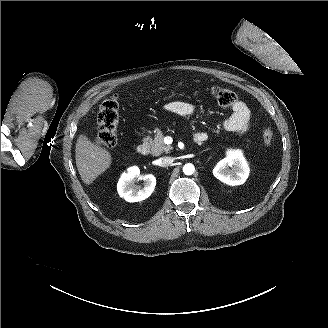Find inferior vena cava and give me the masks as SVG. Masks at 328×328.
<instances>
[{
	"label": "inferior vena cava",
	"instance_id": "602c4592",
	"mask_svg": "<svg viewBox=\"0 0 328 328\" xmlns=\"http://www.w3.org/2000/svg\"><path fill=\"white\" fill-rule=\"evenodd\" d=\"M159 166L161 167H167L169 166L170 164L173 163V158L172 157H169V156H164V157H161L159 159Z\"/></svg>",
	"mask_w": 328,
	"mask_h": 328
}]
</instances>
